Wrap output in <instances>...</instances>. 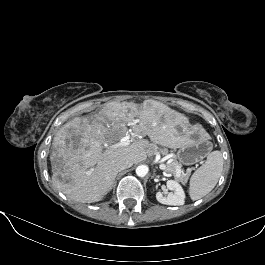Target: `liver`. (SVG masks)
I'll list each match as a JSON object with an SVG mask.
<instances>
[{
    "instance_id": "liver-1",
    "label": "liver",
    "mask_w": 265,
    "mask_h": 265,
    "mask_svg": "<svg viewBox=\"0 0 265 265\" xmlns=\"http://www.w3.org/2000/svg\"><path fill=\"white\" fill-rule=\"evenodd\" d=\"M128 126L133 134L131 144L113 148L128 135ZM187 126V117L158 102L142 109L127 102H108L98 114L75 117L57 132L51 155L52 181L74 201H100L112 188L117 163L126 159L144 161L157 153L158 145L181 148L189 140ZM146 135L152 143L136 139ZM56 157L62 162V170Z\"/></svg>"
}]
</instances>
